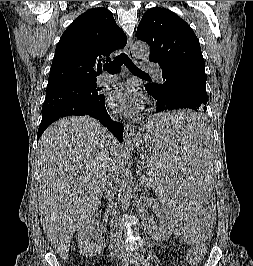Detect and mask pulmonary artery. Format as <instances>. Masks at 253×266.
<instances>
[{
  "label": "pulmonary artery",
  "instance_id": "1",
  "mask_svg": "<svg viewBox=\"0 0 253 266\" xmlns=\"http://www.w3.org/2000/svg\"><path fill=\"white\" fill-rule=\"evenodd\" d=\"M145 69L153 73L154 77L159 81H163L162 70L158 66H145ZM116 80V76L114 74H103L99 77L98 81L101 84L111 83Z\"/></svg>",
  "mask_w": 253,
  "mask_h": 266
}]
</instances>
